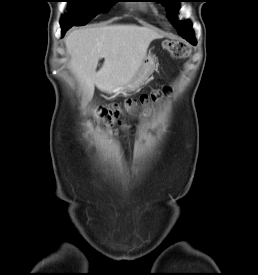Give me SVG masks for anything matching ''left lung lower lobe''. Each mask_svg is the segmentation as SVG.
<instances>
[{
	"label": "left lung lower lobe",
	"mask_w": 258,
	"mask_h": 275,
	"mask_svg": "<svg viewBox=\"0 0 258 275\" xmlns=\"http://www.w3.org/2000/svg\"><path fill=\"white\" fill-rule=\"evenodd\" d=\"M184 39H186L189 43H191L192 45H196V40L194 37V34L192 32V30L186 34L181 35Z\"/></svg>",
	"instance_id": "0a47b994"
}]
</instances>
